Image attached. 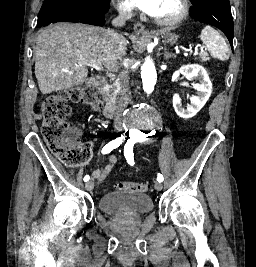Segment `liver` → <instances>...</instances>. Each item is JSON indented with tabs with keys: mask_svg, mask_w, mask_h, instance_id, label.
I'll use <instances>...</instances> for the list:
<instances>
[{
	"mask_svg": "<svg viewBox=\"0 0 256 267\" xmlns=\"http://www.w3.org/2000/svg\"><path fill=\"white\" fill-rule=\"evenodd\" d=\"M107 30L88 24H52L36 40L35 76L42 94L69 90L86 82V64H102L110 72L121 68L127 42H115ZM136 42L135 36H129ZM82 64V66H79Z\"/></svg>",
	"mask_w": 256,
	"mask_h": 267,
	"instance_id": "liver-1",
	"label": "liver"
}]
</instances>
